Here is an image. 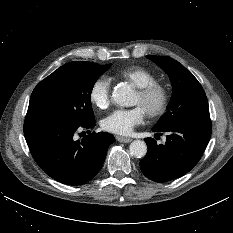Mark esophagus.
I'll return each instance as SVG.
<instances>
[{"mask_svg": "<svg viewBox=\"0 0 233 233\" xmlns=\"http://www.w3.org/2000/svg\"><path fill=\"white\" fill-rule=\"evenodd\" d=\"M116 139H117L119 142H122V143H129V142L132 141L131 138L122 137V136H117Z\"/></svg>", "mask_w": 233, "mask_h": 233, "instance_id": "1", "label": "esophagus"}]
</instances>
